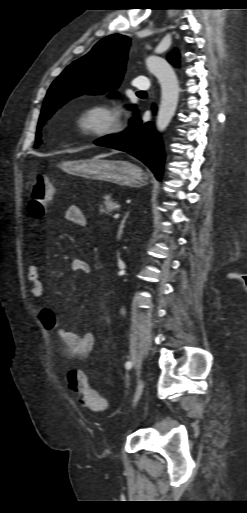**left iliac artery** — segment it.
Returning a JSON list of instances; mask_svg holds the SVG:
<instances>
[{
  "mask_svg": "<svg viewBox=\"0 0 247 513\" xmlns=\"http://www.w3.org/2000/svg\"><path fill=\"white\" fill-rule=\"evenodd\" d=\"M125 367H126V369H131L132 368V362L131 361L126 362Z\"/></svg>",
  "mask_w": 247,
  "mask_h": 513,
  "instance_id": "1",
  "label": "left iliac artery"
}]
</instances>
